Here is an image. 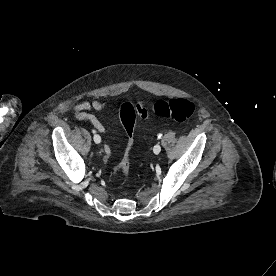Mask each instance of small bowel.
Listing matches in <instances>:
<instances>
[{
    "instance_id": "obj_1",
    "label": "small bowel",
    "mask_w": 276,
    "mask_h": 276,
    "mask_svg": "<svg viewBox=\"0 0 276 276\" xmlns=\"http://www.w3.org/2000/svg\"><path fill=\"white\" fill-rule=\"evenodd\" d=\"M112 106L111 103L101 100H93L91 102H81L74 106V113L77 120L89 122L96 131L99 133H106V127L103 123L91 112L99 111ZM104 151L106 157H110L112 154L110 145L106 143L104 145Z\"/></svg>"
}]
</instances>
